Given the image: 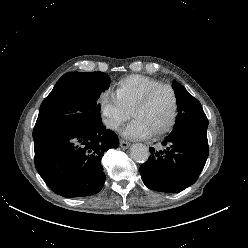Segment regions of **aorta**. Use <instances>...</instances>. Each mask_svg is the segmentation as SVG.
<instances>
[{
	"label": "aorta",
	"instance_id": "762f6f07",
	"mask_svg": "<svg viewBox=\"0 0 248 248\" xmlns=\"http://www.w3.org/2000/svg\"><path fill=\"white\" fill-rule=\"evenodd\" d=\"M130 154L133 160L139 163H144L148 160L150 152L146 145L136 143L131 146Z\"/></svg>",
	"mask_w": 248,
	"mask_h": 248
}]
</instances>
